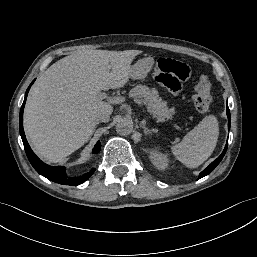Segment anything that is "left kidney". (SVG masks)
Masks as SVG:
<instances>
[{
  "mask_svg": "<svg viewBox=\"0 0 257 257\" xmlns=\"http://www.w3.org/2000/svg\"><path fill=\"white\" fill-rule=\"evenodd\" d=\"M149 158L153 163V165L158 169L164 170L168 167V164H169L168 154L160 152L157 148L152 149L150 151Z\"/></svg>",
  "mask_w": 257,
  "mask_h": 257,
  "instance_id": "obj_1",
  "label": "left kidney"
}]
</instances>
